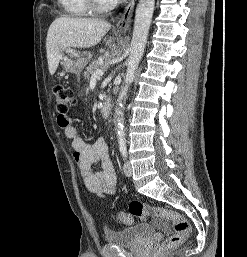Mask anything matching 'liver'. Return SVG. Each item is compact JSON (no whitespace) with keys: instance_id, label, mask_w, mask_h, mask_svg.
<instances>
[{"instance_id":"obj_1","label":"liver","mask_w":247,"mask_h":257,"mask_svg":"<svg viewBox=\"0 0 247 257\" xmlns=\"http://www.w3.org/2000/svg\"><path fill=\"white\" fill-rule=\"evenodd\" d=\"M111 24L100 19L56 18L50 25L46 39L48 68L53 75L61 53L68 48H89L97 45L110 30Z\"/></svg>"}]
</instances>
